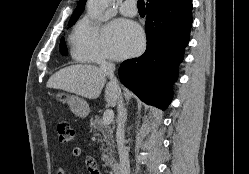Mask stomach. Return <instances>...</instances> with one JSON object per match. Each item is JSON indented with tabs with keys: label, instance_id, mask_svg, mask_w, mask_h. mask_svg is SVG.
Segmentation results:
<instances>
[{
	"label": "stomach",
	"instance_id": "stomach-1",
	"mask_svg": "<svg viewBox=\"0 0 249 174\" xmlns=\"http://www.w3.org/2000/svg\"><path fill=\"white\" fill-rule=\"evenodd\" d=\"M55 98L61 103H67L71 111L78 117H86L90 112L88 103L78 96L59 92L55 95Z\"/></svg>",
	"mask_w": 249,
	"mask_h": 174
}]
</instances>
